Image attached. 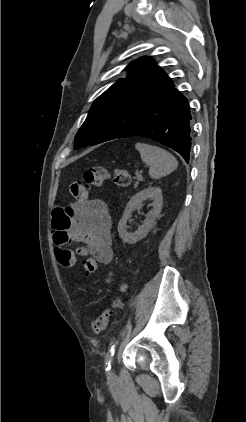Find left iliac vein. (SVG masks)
I'll return each mask as SVG.
<instances>
[{"label":"left iliac vein","mask_w":246,"mask_h":422,"mask_svg":"<svg viewBox=\"0 0 246 422\" xmlns=\"http://www.w3.org/2000/svg\"><path fill=\"white\" fill-rule=\"evenodd\" d=\"M108 375H109V378L110 379H114L115 378V373H114V370L112 369V370H110L109 372H108Z\"/></svg>","instance_id":"1"}]
</instances>
